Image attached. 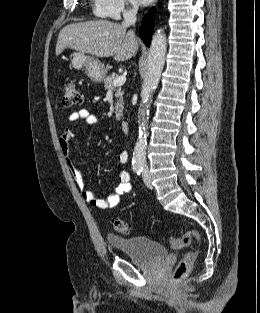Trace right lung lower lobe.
Masks as SVG:
<instances>
[{"label":"right lung lower lobe","mask_w":260,"mask_h":313,"mask_svg":"<svg viewBox=\"0 0 260 313\" xmlns=\"http://www.w3.org/2000/svg\"><path fill=\"white\" fill-rule=\"evenodd\" d=\"M154 19H155V9L152 8L149 11V14L146 15L145 19L142 22V25L139 28L140 37L147 46H150L151 36L154 29Z\"/></svg>","instance_id":"right-lung-lower-lobe-1"}]
</instances>
